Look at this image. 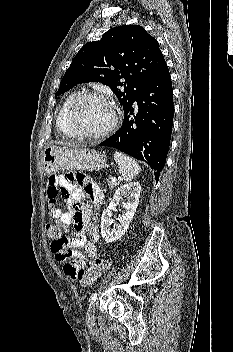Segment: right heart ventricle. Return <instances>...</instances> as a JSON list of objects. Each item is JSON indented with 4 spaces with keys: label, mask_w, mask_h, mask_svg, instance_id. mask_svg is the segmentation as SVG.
Listing matches in <instances>:
<instances>
[{
    "label": "right heart ventricle",
    "mask_w": 233,
    "mask_h": 352,
    "mask_svg": "<svg viewBox=\"0 0 233 352\" xmlns=\"http://www.w3.org/2000/svg\"><path fill=\"white\" fill-rule=\"evenodd\" d=\"M79 95L78 92L74 91L71 92L66 99L64 100V102L62 103L58 115H57V119H56V125L58 130L65 136L68 137H72L69 128L67 126V122H66V117H67V112L68 109L72 103V101Z\"/></svg>",
    "instance_id": "1"
}]
</instances>
